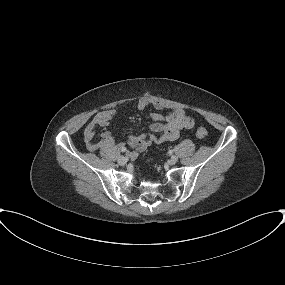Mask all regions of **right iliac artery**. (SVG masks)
Segmentation results:
<instances>
[{
	"mask_svg": "<svg viewBox=\"0 0 285 285\" xmlns=\"http://www.w3.org/2000/svg\"><path fill=\"white\" fill-rule=\"evenodd\" d=\"M121 151H122V152H125V151H126V148H125V149H122Z\"/></svg>",
	"mask_w": 285,
	"mask_h": 285,
	"instance_id": "right-iliac-artery-1",
	"label": "right iliac artery"
}]
</instances>
